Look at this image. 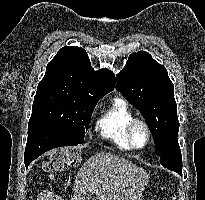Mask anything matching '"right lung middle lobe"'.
Listing matches in <instances>:
<instances>
[{
	"label": "right lung middle lobe",
	"mask_w": 205,
	"mask_h": 200,
	"mask_svg": "<svg viewBox=\"0 0 205 200\" xmlns=\"http://www.w3.org/2000/svg\"><path fill=\"white\" fill-rule=\"evenodd\" d=\"M98 100L80 88L61 82L41 81L31 117L53 124L81 144Z\"/></svg>",
	"instance_id": "1"
}]
</instances>
